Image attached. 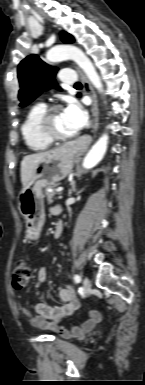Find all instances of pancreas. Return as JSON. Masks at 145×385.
Segmentation results:
<instances>
[{"label": "pancreas", "instance_id": "1", "mask_svg": "<svg viewBox=\"0 0 145 385\" xmlns=\"http://www.w3.org/2000/svg\"><path fill=\"white\" fill-rule=\"evenodd\" d=\"M48 188H52V186H49ZM55 194H56L55 191H48V190L45 191V195L49 204L53 202Z\"/></svg>", "mask_w": 145, "mask_h": 385}]
</instances>
